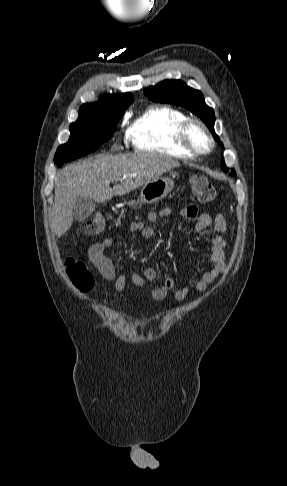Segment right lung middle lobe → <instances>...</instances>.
Segmentation results:
<instances>
[{"label":"right lung middle lobe","mask_w":287,"mask_h":486,"mask_svg":"<svg viewBox=\"0 0 287 486\" xmlns=\"http://www.w3.org/2000/svg\"><path fill=\"white\" fill-rule=\"evenodd\" d=\"M123 114L97 109L79 111L77 121L70 125V138L66 144L58 147L54 162L60 167L65 162L96 150L111 138Z\"/></svg>","instance_id":"1"}]
</instances>
